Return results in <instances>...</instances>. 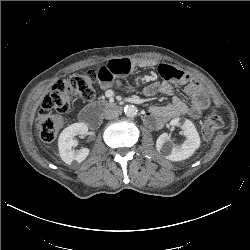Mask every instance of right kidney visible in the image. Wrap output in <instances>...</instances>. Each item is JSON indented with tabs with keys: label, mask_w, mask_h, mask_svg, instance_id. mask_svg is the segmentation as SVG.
I'll return each instance as SVG.
<instances>
[{
	"label": "right kidney",
	"mask_w": 250,
	"mask_h": 250,
	"mask_svg": "<svg viewBox=\"0 0 250 250\" xmlns=\"http://www.w3.org/2000/svg\"><path fill=\"white\" fill-rule=\"evenodd\" d=\"M87 132L88 127L84 123H74L61 132L58 139L59 154L66 164L70 165L73 161L81 163L88 156V148H82L77 152L72 149L73 146L77 145L75 136L86 135Z\"/></svg>",
	"instance_id": "obj_1"
}]
</instances>
